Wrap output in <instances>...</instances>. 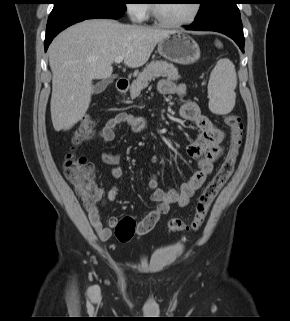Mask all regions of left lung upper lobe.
<instances>
[{
  "mask_svg": "<svg viewBox=\"0 0 290 321\" xmlns=\"http://www.w3.org/2000/svg\"><path fill=\"white\" fill-rule=\"evenodd\" d=\"M199 1L201 6L195 20H199L213 14L214 12L219 10L221 7L226 5L227 2L230 0H199Z\"/></svg>",
  "mask_w": 290,
  "mask_h": 321,
  "instance_id": "obj_1",
  "label": "left lung upper lobe"
}]
</instances>
